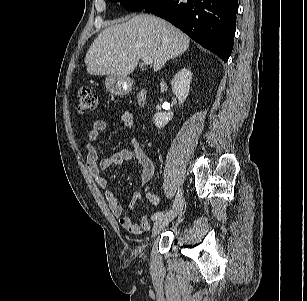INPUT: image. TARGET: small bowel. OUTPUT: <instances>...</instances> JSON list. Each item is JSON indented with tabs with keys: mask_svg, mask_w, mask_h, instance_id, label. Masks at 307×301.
<instances>
[{
	"mask_svg": "<svg viewBox=\"0 0 307 301\" xmlns=\"http://www.w3.org/2000/svg\"><path fill=\"white\" fill-rule=\"evenodd\" d=\"M120 119L129 132L135 133L138 129V122L130 111L123 110L120 112ZM107 123L104 120H96L92 129L88 132V141L85 144L86 151V167L90 175L94 178L100 188L104 190V195L112 214L119 220L121 226L133 235H140L149 230L151 223L146 216H142L139 223L135 222L134 218L129 215H124V209L116 193L111 189H106L107 181L101 176V172L107 171L113 167L121 166L126 161L137 162L141 168V184L146 186L154 175V163L140 146L137 139H131L130 146L113 153L109 157L99 161L97 149L94 145L98 141L102 132L107 130ZM147 199L154 205H159L162 198L146 189ZM141 200V193L135 192L132 194L129 208L131 211L136 209L137 204Z\"/></svg>",
	"mask_w": 307,
	"mask_h": 301,
	"instance_id": "1",
	"label": "small bowel"
}]
</instances>
